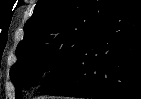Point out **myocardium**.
<instances>
[{
	"instance_id": "1",
	"label": "myocardium",
	"mask_w": 141,
	"mask_h": 99,
	"mask_svg": "<svg viewBox=\"0 0 141 99\" xmlns=\"http://www.w3.org/2000/svg\"><path fill=\"white\" fill-rule=\"evenodd\" d=\"M52 70H53V68L51 66L47 65L41 70L40 75L43 77L47 76L48 74H50L52 72Z\"/></svg>"
}]
</instances>
